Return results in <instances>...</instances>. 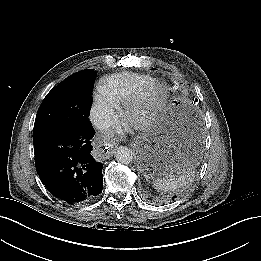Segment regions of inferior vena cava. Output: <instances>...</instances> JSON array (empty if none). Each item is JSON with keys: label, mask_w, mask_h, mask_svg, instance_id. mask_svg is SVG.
I'll list each match as a JSON object with an SVG mask.
<instances>
[{"label": "inferior vena cava", "mask_w": 261, "mask_h": 261, "mask_svg": "<svg viewBox=\"0 0 261 261\" xmlns=\"http://www.w3.org/2000/svg\"><path fill=\"white\" fill-rule=\"evenodd\" d=\"M93 121L95 125L99 128H108L112 125V120L110 115L103 110H98L94 113Z\"/></svg>", "instance_id": "inferior-vena-cava-1"}]
</instances>
